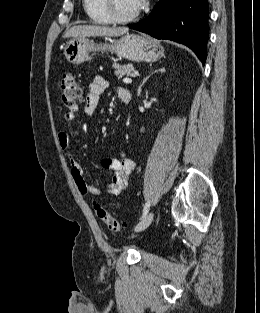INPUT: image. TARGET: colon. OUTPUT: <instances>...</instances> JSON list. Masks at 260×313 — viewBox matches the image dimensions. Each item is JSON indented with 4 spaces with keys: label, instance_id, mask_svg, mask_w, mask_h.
Listing matches in <instances>:
<instances>
[{
    "label": "colon",
    "instance_id": "colon-1",
    "mask_svg": "<svg viewBox=\"0 0 260 313\" xmlns=\"http://www.w3.org/2000/svg\"><path fill=\"white\" fill-rule=\"evenodd\" d=\"M60 89L63 103L73 108L83 99V89L74 75L70 73L63 74L60 79ZM95 211L98 218L111 230L119 231L121 229L120 222L114 218L104 207L100 204L95 205Z\"/></svg>",
    "mask_w": 260,
    "mask_h": 313
}]
</instances>
